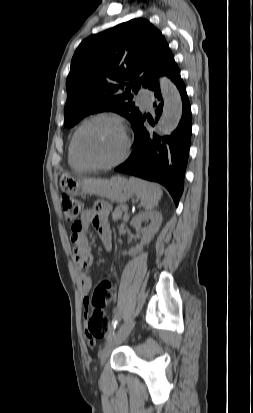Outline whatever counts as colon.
Wrapping results in <instances>:
<instances>
[{
  "label": "colon",
  "mask_w": 253,
  "mask_h": 413,
  "mask_svg": "<svg viewBox=\"0 0 253 413\" xmlns=\"http://www.w3.org/2000/svg\"><path fill=\"white\" fill-rule=\"evenodd\" d=\"M61 205L65 219L76 224L81 211V205L78 200L64 194L61 197ZM114 290L115 284L113 282L102 280L89 299L86 336L90 343H94L96 339L105 338L110 331V321L104 308L113 301Z\"/></svg>",
  "instance_id": "colon-1"
}]
</instances>
